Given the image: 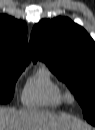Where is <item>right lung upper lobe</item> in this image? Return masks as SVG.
<instances>
[{
	"mask_svg": "<svg viewBox=\"0 0 95 130\" xmlns=\"http://www.w3.org/2000/svg\"><path fill=\"white\" fill-rule=\"evenodd\" d=\"M31 54L24 22L0 15V68H24Z\"/></svg>",
	"mask_w": 95,
	"mask_h": 130,
	"instance_id": "right-lung-upper-lobe-1",
	"label": "right lung upper lobe"
}]
</instances>
